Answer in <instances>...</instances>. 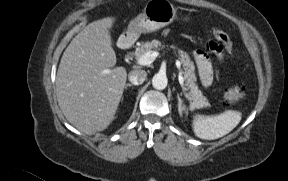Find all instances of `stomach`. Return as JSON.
Here are the masks:
<instances>
[{"instance_id":"1","label":"stomach","mask_w":288,"mask_h":181,"mask_svg":"<svg viewBox=\"0 0 288 181\" xmlns=\"http://www.w3.org/2000/svg\"><path fill=\"white\" fill-rule=\"evenodd\" d=\"M176 18V9L168 0H149L143 13L130 21L128 29L121 35L119 42L125 46L136 40L142 33L155 32L169 25Z\"/></svg>"}]
</instances>
